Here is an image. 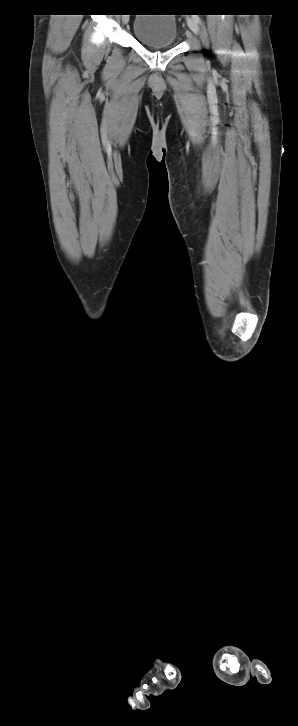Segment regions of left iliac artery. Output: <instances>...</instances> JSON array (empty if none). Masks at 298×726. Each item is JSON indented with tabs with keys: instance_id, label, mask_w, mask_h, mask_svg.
Wrapping results in <instances>:
<instances>
[{
	"instance_id": "left-iliac-artery-1",
	"label": "left iliac artery",
	"mask_w": 298,
	"mask_h": 726,
	"mask_svg": "<svg viewBox=\"0 0 298 726\" xmlns=\"http://www.w3.org/2000/svg\"><path fill=\"white\" fill-rule=\"evenodd\" d=\"M193 18H194V20H195V21H196L197 23H200V18H199L198 16H196V15H195V16H193Z\"/></svg>"
}]
</instances>
